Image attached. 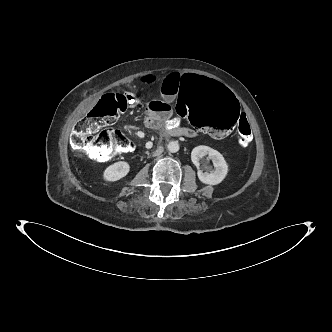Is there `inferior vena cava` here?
<instances>
[{
	"instance_id": "obj_1",
	"label": "inferior vena cava",
	"mask_w": 332,
	"mask_h": 332,
	"mask_svg": "<svg viewBox=\"0 0 332 332\" xmlns=\"http://www.w3.org/2000/svg\"><path fill=\"white\" fill-rule=\"evenodd\" d=\"M163 152V149L162 148H159L156 152H155V155H160L161 153Z\"/></svg>"
}]
</instances>
